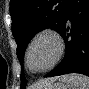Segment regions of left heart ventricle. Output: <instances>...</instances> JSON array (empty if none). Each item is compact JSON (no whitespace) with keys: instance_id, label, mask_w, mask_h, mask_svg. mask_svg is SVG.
Segmentation results:
<instances>
[{"instance_id":"left-heart-ventricle-1","label":"left heart ventricle","mask_w":89,"mask_h":89,"mask_svg":"<svg viewBox=\"0 0 89 89\" xmlns=\"http://www.w3.org/2000/svg\"><path fill=\"white\" fill-rule=\"evenodd\" d=\"M57 43L50 36L39 38L30 51V65L33 69L39 70L50 65L57 54Z\"/></svg>"}]
</instances>
